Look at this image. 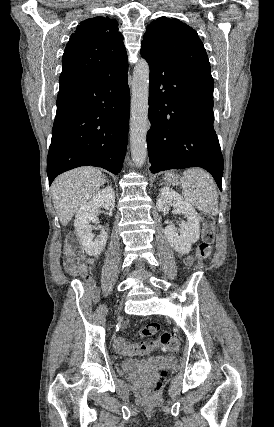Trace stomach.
I'll use <instances>...</instances> for the list:
<instances>
[{
	"mask_svg": "<svg viewBox=\"0 0 274 427\" xmlns=\"http://www.w3.org/2000/svg\"><path fill=\"white\" fill-rule=\"evenodd\" d=\"M164 180V184H177L178 176H176V174H172V172H169V174H165Z\"/></svg>",
	"mask_w": 274,
	"mask_h": 427,
	"instance_id": "1",
	"label": "stomach"
}]
</instances>
